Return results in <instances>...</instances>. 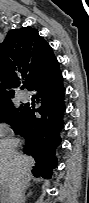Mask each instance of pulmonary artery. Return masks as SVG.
Masks as SVG:
<instances>
[{
  "instance_id": "pulmonary-artery-1",
  "label": "pulmonary artery",
  "mask_w": 89,
  "mask_h": 203,
  "mask_svg": "<svg viewBox=\"0 0 89 203\" xmlns=\"http://www.w3.org/2000/svg\"><path fill=\"white\" fill-rule=\"evenodd\" d=\"M19 99H20L21 102L25 103V102L28 101L29 97H28V95H26L25 93H22V94L20 95Z\"/></svg>"
}]
</instances>
